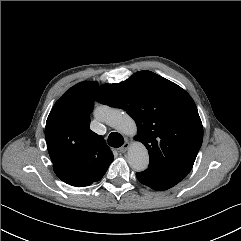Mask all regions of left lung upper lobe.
Listing matches in <instances>:
<instances>
[{
  "label": "left lung upper lobe",
  "instance_id": "left-lung-upper-lobe-1",
  "mask_svg": "<svg viewBox=\"0 0 241 241\" xmlns=\"http://www.w3.org/2000/svg\"><path fill=\"white\" fill-rule=\"evenodd\" d=\"M96 100L125 110L135 120V139L148 149V168L181 179L188 175L202 144L203 126L184 89L141 71L120 83L100 86Z\"/></svg>",
  "mask_w": 241,
  "mask_h": 241
}]
</instances>
